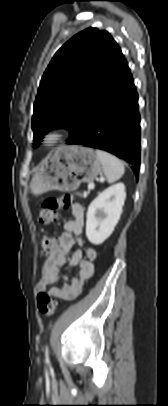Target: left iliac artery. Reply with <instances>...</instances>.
Wrapping results in <instances>:
<instances>
[{"label":"left iliac artery","mask_w":168,"mask_h":406,"mask_svg":"<svg viewBox=\"0 0 168 406\" xmlns=\"http://www.w3.org/2000/svg\"><path fill=\"white\" fill-rule=\"evenodd\" d=\"M45 361L48 363L49 362V350L48 347L46 346L45 348Z\"/></svg>","instance_id":"1"}]
</instances>
